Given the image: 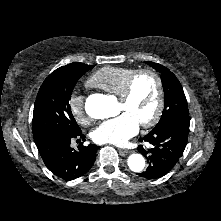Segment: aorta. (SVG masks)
I'll return each mask as SVG.
<instances>
[{
  "label": "aorta",
  "mask_w": 221,
  "mask_h": 221,
  "mask_svg": "<svg viewBox=\"0 0 221 221\" xmlns=\"http://www.w3.org/2000/svg\"><path fill=\"white\" fill-rule=\"evenodd\" d=\"M85 110L93 119H105L113 115L114 104L107 96L96 94L87 100ZM127 163L134 172H140L145 167V159L141 154H131Z\"/></svg>",
  "instance_id": "762f6f07"
}]
</instances>
